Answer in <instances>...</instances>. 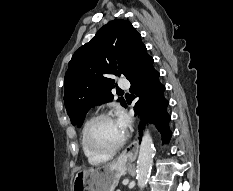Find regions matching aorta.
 <instances>
[{
  "label": "aorta",
  "mask_w": 233,
  "mask_h": 191,
  "mask_svg": "<svg viewBox=\"0 0 233 191\" xmlns=\"http://www.w3.org/2000/svg\"><path fill=\"white\" fill-rule=\"evenodd\" d=\"M154 154L155 149L152 137L149 131H146L141 141L136 170V178L138 181V186L141 190L147 185L152 168Z\"/></svg>",
  "instance_id": "obj_1"
}]
</instances>
